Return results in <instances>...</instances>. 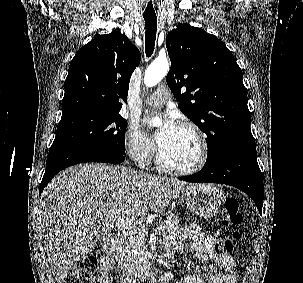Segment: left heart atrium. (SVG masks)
<instances>
[{
	"label": "left heart atrium",
	"mask_w": 303,
	"mask_h": 283,
	"mask_svg": "<svg viewBox=\"0 0 303 283\" xmlns=\"http://www.w3.org/2000/svg\"><path fill=\"white\" fill-rule=\"evenodd\" d=\"M178 127L179 126L175 122L172 115L167 114L164 116L163 123L155 134V140L159 148L163 147L168 142Z\"/></svg>",
	"instance_id": "left-heart-atrium-1"
}]
</instances>
